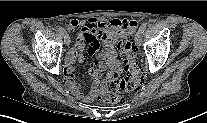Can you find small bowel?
<instances>
[{"label":"small bowel","instance_id":"obj_1","mask_svg":"<svg viewBox=\"0 0 207 123\" xmlns=\"http://www.w3.org/2000/svg\"><path fill=\"white\" fill-rule=\"evenodd\" d=\"M68 31H73L77 27H83L78 34L75 45L67 52L65 58V78L70 91L77 98L85 102H91L95 96V90L98 87L103 74L109 69H118L115 45L125 37L131 35L137 26L134 20L114 18L108 22L96 18H90L87 21L69 20L64 23ZM85 43L89 44V53L93 56L98 55L99 59L94 63L90 70V81L92 91L84 93L74 76L73 64L76 60L84 59L83 49Z\"/></svg>","mask_w":207,"mask_h":123}]
</instances>
